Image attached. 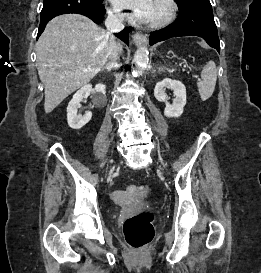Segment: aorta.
<instances>
[{
	"label": "aorta",
	"instance_id": "762f6f07",
	"mask_svg": "<svg viewBox=\"0 0 261 273\" xmlns=\"http://www.w3.org/2000/svg\"><path fill=\"white\" fill-rule=\"evenodd\" d=\"M149 61V51L146 46H141L137 49L134 54L133 63L135 67L133 69L134 74H141L148 64Z\"/></svg>",
	"mask_w": 261,
	"mask_h": 273
}]
</instances>
